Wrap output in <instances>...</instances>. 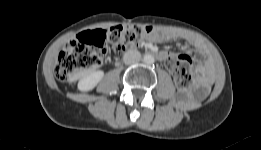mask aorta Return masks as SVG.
<instances>
[{
  "mask_svg": "<svg viewBox=\"0 0 261 150\" xmlns=\"http://www.w3.org/2000/svg\"><path fill=\"white\" fill-rule=\"evenodd\" d=\"M143 61H144V63L150 65V64H153L155 62V59H154V57L152 55L146 54L143 57Z\"/></svg>",
  "mask_w": 261,
  "mask_h": 150,
  "instance_id": "obj_1",
  "label": "aorta"
}]
</instances>
